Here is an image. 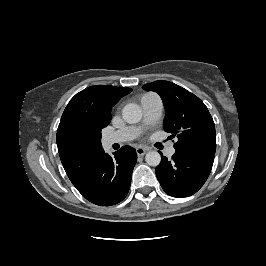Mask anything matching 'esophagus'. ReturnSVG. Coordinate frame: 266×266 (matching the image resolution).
I'll use <instances>...</instances> for the list:
<instances>
[{"instance_id": "1", "label": "esophagus", "mask_w": 266, "mask_h": 266, "mask_svg": "<svg viewBox=\"0 0 266 266\" xmlns=\"http://www.w3.org/2000/svg\"><path fill=\"white\" fill-rule=\"evenodd\" d=\"M147 151H148V149L144 148V147H137L136 148V153L138 156H143Z\"/></svg>"}]
</instances>
